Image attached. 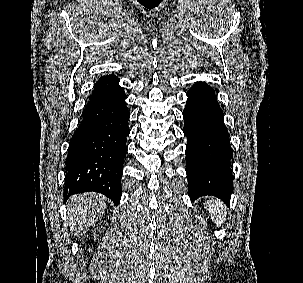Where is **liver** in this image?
I'll return each instance as SVG.
<instances>
[{
  "label": "liver",
  "mask_w": 303,
  "mask_h": 283,
  "mask_svg": "<svg viewBox=\"0 0 303 283\" xmlns=\"http://www.w3.org/2000/svg\"><path fill=\"white\" fill-rule=\"evenodd\" d=\"M106 209V198L97 193L78 194L68 201L67 222L75 236L85 233Z\"/></svg>",
  "instance_id": "6515ba94"
}]
</instances>
